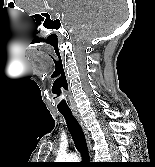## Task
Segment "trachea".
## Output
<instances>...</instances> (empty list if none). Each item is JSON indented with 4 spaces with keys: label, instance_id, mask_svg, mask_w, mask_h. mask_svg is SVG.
I'll list each match as a JSON object with an SVG mask.
<instances>
[{
    "label": "trachea",
    "instance_id": "obj_1",
    "mask_svg": "<svg viewBox=\"0 0 155 167\" xmlns=\"http://www.w3.org/2000/svg\"><path fill=\"white\" fill-rule=\"evenodd\" d=\"M60 113L64 116L66 120L69 132L72 136V139L74 141L77 150L80 152L82 156V160L84 162H88L89 161L88 147L81 126L79 125L75 117L72 115L71 111H60Z\"/></svg>",
    "mask_w": 155,
    "mask_h": 167
}]
</instances>
